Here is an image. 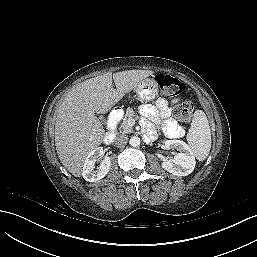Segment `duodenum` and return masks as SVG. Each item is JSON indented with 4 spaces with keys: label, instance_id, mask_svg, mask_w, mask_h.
<instances>
[{
    "label": "duodenum",
    "instance_id": "obj_1",
    "mask_svg": "<svg viewBox=\"0 0 257 257\" xmlns=\"http://www.w3.org/2000/svg\"><path fill=\"white\" fill-rule=\"evenodd\" d=\"M118 120H119V114L116 111L113 115L110 116V119L108 121V131L104 137V142L106 144H111L115 140L117 135L116 126H117Z\"/></svg>",
    "mask_w": 257,
    "mask_h": 257
}]
</instances>
